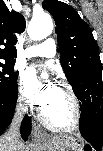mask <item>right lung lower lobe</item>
I'll use <instances>...</instances> for the list:
<instances>
[{"label": "right lung lower lobe", "mask_w": 103, "mask_h": 151, "mask_svg": "<svg viewBox=\"0 0 103 151\" xmlns=\"http://www.w3.org/2000/svg\"><path fill=\"white\" fill-rule=\"evenodd\" d=\"M17 96L14 99H7L0 96V135L8 129L13 122L16 107ZM31 131V121L29 117H25L21 124V136L27 140Z\"/></svg>", "instance_id": "98d812e1"}]
</instances>
